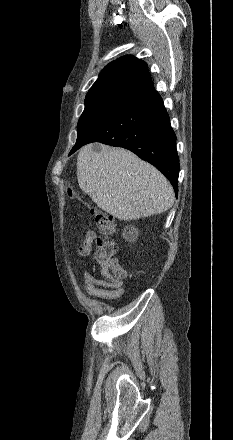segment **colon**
I'll use <instances>...</instances> for the list:
<instances>
[{"mask_svg":"<svg viewBox=\"0 0 233 440\" xmlns=\"http://www.w3.org/2000/svg\"><path fill=\"white\" fill-rule=\"evenodd\" d=\"M65 191L68 196L74 198L75 193L68 184H65ZM96 225L101 237L97 238V251L95 259L101 268V273L110 282L112 286H117L124 278L128 276L127 271L113 260V254L117 249V245L109 237L115 231V225L112 216L108 213L92 208Z\"/></svg>","mask_w":233,"mask_h":440,"instance_id":"obj_1","label":"colon"}]
</instances>
